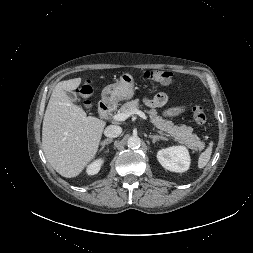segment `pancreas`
Here are the masks:
<instances>
[{"label": "pancreas", "instance_id": "cf45deb5", "mask_svg": "<svg viewBox=\"0 0 253 253\" xmlns=\"http://www.w3.org/2000/svg\"><path fill=\"white\" fill-rule=\"evenodd\" d=\"M138 109L139 100L135 99L122 105L118 112L128 114ZM151 120L159 130L168 133L169 136L177 140L179 143L186 145L189 149L193 150V152L201 149L202 142L196 134L192 133V127H188L186 125H175L172 121L163 119L161 116L156 114L151 115Z\"/></svg>", "mask_w": 253, "mask_h": 253}]
</instances>
